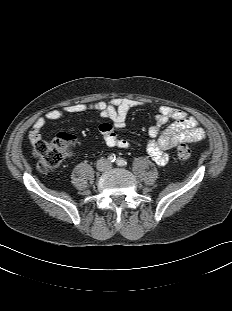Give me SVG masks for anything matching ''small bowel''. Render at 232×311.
I'll return each mask as SVG.
<instances>
[{
    "label": "small bowel",
    "mask_w": 232,
    "mask_h": 311,
    "mask_svg": "<svg viewBox=\"0 0 232 311\" xmlns=\"http://www.w3.org/2000/svg\"><path fill=\"white\" fill-rule=\"evenodd\" d=\"M143 102L126 98L114 97L110 101H97L89 104H70L61 108L49 110L44 117H39L33 123L28 133L32 145L42 140L41 131L48 120L62 119L66 114L96 112L112 123H102L100 131L104 142L110 147L129 148L130 143L118 135L115 130L123 129L130 111L140 107ZM150 139L146 148L149 156L158 165H165L169 160L168 150L182 143L197 142L205 138V131L199 122L187 112L171 106H161L157 109L154 123L148 129Z\"/></svg>",
    "instance_id": "1"
}]
</instances>
